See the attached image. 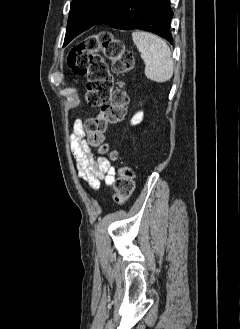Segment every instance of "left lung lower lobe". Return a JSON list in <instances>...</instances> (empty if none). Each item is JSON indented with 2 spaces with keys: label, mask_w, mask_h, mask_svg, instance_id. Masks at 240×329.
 Wrapping results in <instances>:
<instances>
[{
  "label": "left lung lower lobe",
  "mask_w": 240,
  "mask_h": 329,
  "mask_svg": "<svg viewBox=\"0 0 240 329\" xmlns=\"http://www.w3.org/2000/svg\"><path fill=\"white\" fill-rule=\"evenodd\" d=\"M169 0H120L96 24L122 30L141 29L153 32L172 43Z\"/></svg>",
  "instance_id": "1"
}]
</instances>
